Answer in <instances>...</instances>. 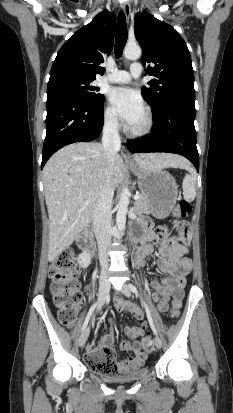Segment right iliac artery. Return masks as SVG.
<instances>
[{
  "label": "right iliac artery",
  "instance_id": "obj_1",
  "mask_svg": "<svg viewBox=\"0 0 233 413\" xmlns=\"http://www.w3.org/2000/svg\"><path fill=\"white\" fill-rule=\"evenodd\" d=\"M98 303H99V301L96 302L95 304H93L92 307L90 308V310H89V312H88V314H87V316H86V318H85V321H84V323H83L82 331H84L85 328L87 327L88 322H89V320H90V317L93 315L94 309H95V307L97 306Z\"/></svg>",
  "mask_w": 233,
  "mask_h": 413
}]
</instances>
